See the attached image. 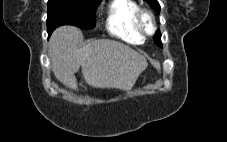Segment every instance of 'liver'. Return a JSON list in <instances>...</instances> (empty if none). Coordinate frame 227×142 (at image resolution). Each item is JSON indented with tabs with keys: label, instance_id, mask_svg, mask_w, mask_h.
Listing matches in <instances>:
<instances>
[{
	"label": "liver",
	"instance_id": "liver-1",
	"mask_svg": "<svg viewBox=\"0 0 227 142\" xmlns=\"http://www.w3.org/2000/svg\"><path fill=\"white\" fill-rule=\"evenodd\" d=\"M82 32L73 26L57 28L50 37L52 71L66 87L77 89L75 73L81 67L88 85L130 90L147 68L145 57L114 40H95L80 46Z\"/></svg>",
	"mask_w": 227,
	"mask_h": 142
}]
</instances>
